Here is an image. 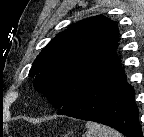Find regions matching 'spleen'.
<instances>
[{
	"instance_id": "obj_1",
	"label": "spleen",
	"mask_w": 144,
	"mask_h": 137,
	"mask_svg": "<svg viewBox=\"0 0 144 137\" xmlns=\"http://www.w3.org/2000/svg\"><path fill=\"white\" fill-rule=\"evenodd\" d=\"M85 126L87 131L83 137H122L118 131L96 122L88 121Z\"/></svg>"
}]
</instances>
